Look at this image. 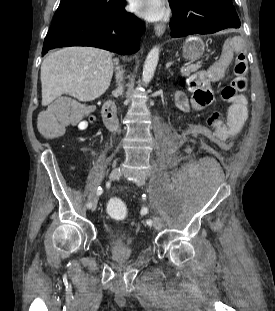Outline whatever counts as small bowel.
<instances>
[{"label": "small bowel", "mask_w": 275, "mask_h": 311, "mask_svg": "<svg viewBox=\"0 0 275 311\" xmlns=\"http://www.w3.org/2000/svg\"><path fill=\"white\" fill-rule=\"evenodd\" d=\"M241 41L240 37L228 40L226 42L228 46L221 60H212V65H209L208 69H200L199 73L191 74L192 80H186V92L192 93L191 111L197 112L202 108L211 110L207 112L206 117L208 129H213L212 143H230L231 139L236 138V133L243 132L244 121L247 117V99L243 94H238L233 101L229 102V118H226V121L220 114V110L211 106L214 102L212 80L225 79V72L229 71V67H233V57L247 56V51L242 50ZM178 99L182 106L189 108L188 100L183 93H178ZM96 121L97 115L90 114L87 118L78 121L76 127L85 131ZM73 168L75 171H80L82 167L80 164H75Z\"/></svg>", "instance_id": "c3829d8e"}]
</instances>
